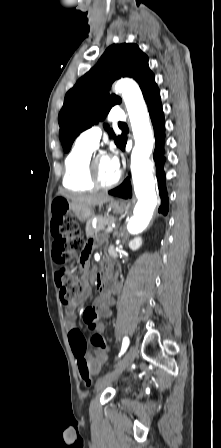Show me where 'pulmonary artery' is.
Returning a JSON list of instances; mask_svg holds the SVG:
<instances>
[{"mask_svg": "<svg viewBox=\"0 0 221 448\" xmlns=\"http://www.w3.org/2000/svg\"><path fill=\"white\" fill-rule=\"evenodd\" d=\"M108 120L111 122L123 123L126 120V115L120 109H113L111 110L108 116ZM101 136H102V127L100 125H94L84 130L79 135L78 142L93 148H97Z\"/></svg>", "mask_w": 221, "mask_h": 448, "instance_id": "1", "label": "pulmonary artery"}]
</instances>
